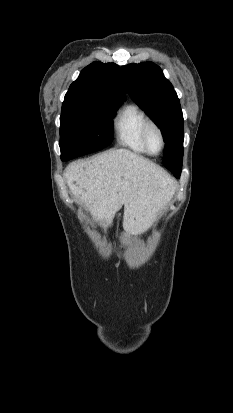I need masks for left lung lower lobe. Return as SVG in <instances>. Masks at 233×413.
Here are the masks:
<instances>
[{
  "label": "left lung lower lobe",
  "mask_w": 233,
  "mask_h": 413,
  "mask_svg": "<svg viewBox=\"0 0 233 413\" xmlns=\"http://www.w3.org/2000/svg\"><path fill=\"white\" fill-rule=\"evenodd\" d=\"M180 174H181V168H179V169H177V170L174 171V176H175L176 178H179V177H180Z\"/></svg>",
  "instance_id": "obj_1"
}]
</instances>
